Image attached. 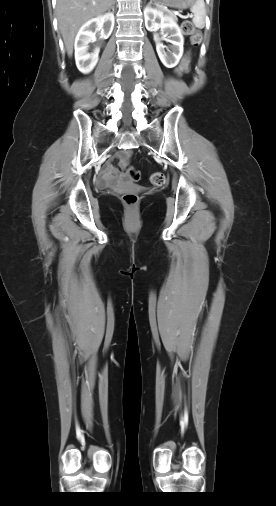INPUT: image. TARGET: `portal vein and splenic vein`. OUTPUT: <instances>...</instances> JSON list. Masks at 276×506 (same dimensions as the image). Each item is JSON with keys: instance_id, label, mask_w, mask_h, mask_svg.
Wrapping results in <instances>:
<instances>
[{"instance_id": "1", "label": "portal vein and splenic vein", "mask_w": 276, "mask_h": 506, "mask_svg": "<svg viewBox=\"0 0 276 506\" xmlns=\"http://www.w3.org/2000/svg\"><path fill=\"white\" fill-rule=\"evenodd\" d=\"M165 11L168 12V13H174L175 15H179L178 11H169V10H165Z\"/></svg>"}]
</instances>
